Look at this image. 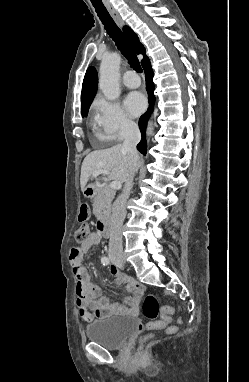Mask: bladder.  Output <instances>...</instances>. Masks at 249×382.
<instances>
[{
    "label": "bladder",
    "mask_w": 249,
    "mask_h": 382,
    "mask_svg": "<svg viewBox=\"0 0 249 382\" xmlns=\"http://www.w3.org/2000/svg\"><path fill=\"white\" fill-rule=\"evenodd\" d=\"M138 324L131 315H114L92 321L85 327L86 338L106 349L122 347Z\"/></svg>",
    "instance_id": "obj_1"
}]
</instances>
